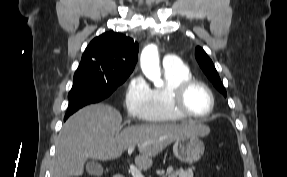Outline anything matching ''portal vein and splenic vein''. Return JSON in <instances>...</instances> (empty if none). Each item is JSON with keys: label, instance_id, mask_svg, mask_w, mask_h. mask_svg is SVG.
<instances>
[{"label": "portal vein and splenic vein", "instance_id": "obj_1", "mask_svg": "<svg viewBox=\"0 0 287 177\" xmlns=\"http://www.w3.org/2000/svg\"><path fill=\"white\" fill-rule=\"evenodd\" d=\"M135 147H129L128 148V154H132V152L134 151ZM129 172L131 173V175L133 177H144V175L141 173V171L134 165L130 164L129 166Z\"/></svg>", "mask_w": 287, "mask_h": 177}]
</instances>
